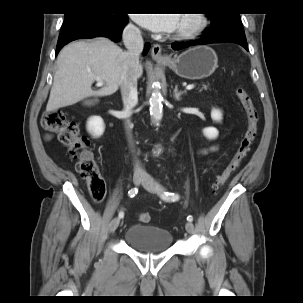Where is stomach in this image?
<instances>
[{
  "label": "stomach",
  "mask_w": 303,
  "mask_h": 303,
  "mask_svg": "<svg viewBox=\"0 0 303 303\" xmlns=\"http://www.w3.org/2000/svg\"><path fill=\"white\" fill-rule=\"evenodd\" d=\"M215 51L206 45L190 48L164 62L179 77L197 80L209 77L217 68Z\"/></svg>",
  "instance_id": "obj_1"
}]
</instances>
